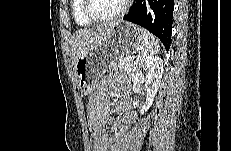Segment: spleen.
I'll return each mask as SVG.
<instances>
[{
	"label": "spleen",
	"instance_id": "obj_1",
	"mask_svg": "<svg viewBox=\"0 0 231 151\" xmlns=\"http://www.w3.org/2000/svg\"><path fill=\"white\" fill-rule=\"evenodd\" d=\"M140 33L143 38L140 54L144 56L157 54L160 50L159 40L144 28H140Z\"/></svg>",
	"mask_w": 231,
	"mask_h": 151
}]
</instances>
